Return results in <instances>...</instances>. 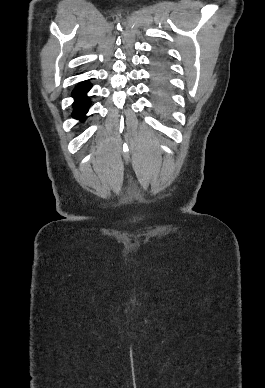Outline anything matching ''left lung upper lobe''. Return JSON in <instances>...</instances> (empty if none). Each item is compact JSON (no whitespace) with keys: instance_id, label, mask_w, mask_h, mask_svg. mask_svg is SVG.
Listing matches in <instances>:
<instances>
[{"instance_id":"5c2ea615","label":"left lung upper lobe","mask_w":265,"mask_h":388,"mask_svg":"<svg viewBox=\"0 0 265 388\" xmlns=\"http://www.w3.org/2000/svg\"><path fill=\"white\" fill-rule=\"evenodd\" d=\"M159 67H160L161 69L166 70V65H165V63H164L163 61H160Z\"/></svg>"}]
</instances>
